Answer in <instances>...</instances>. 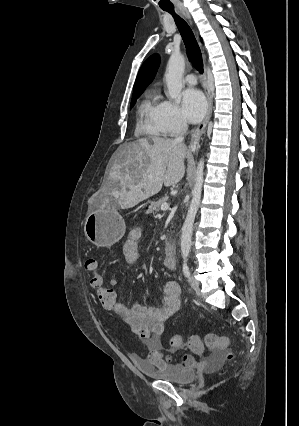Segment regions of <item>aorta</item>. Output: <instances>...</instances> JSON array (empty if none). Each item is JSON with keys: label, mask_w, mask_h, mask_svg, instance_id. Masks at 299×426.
<instances>
[{"label": "aorta", "mask_w": 299, "mask_h": 426, "mask_svg": "<svg viewBox=\"0 0 299 426\" xmlns=\"http://www.w3.org/2000/svg\"><path fill=\"white\" fill-rule=\"evenodd\" d=\"M185 69V59L180 53H173L168 61L165 80L169 97L177 104L181 102V91L184 87L182 77ZM204 181V160L200 159L196 168L195 185L192 190V200L182 227L181 254L184 261L189 256L192 245V230L195 216L200 206L202 187Z\"/></svg>", "instance_id": "obj_1"}]
</instances>
